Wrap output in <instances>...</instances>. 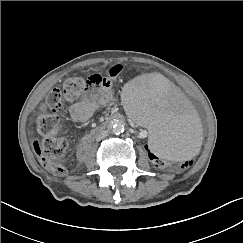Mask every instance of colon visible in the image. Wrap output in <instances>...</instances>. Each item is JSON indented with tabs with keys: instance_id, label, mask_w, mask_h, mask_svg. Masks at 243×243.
Here are the masks:
<instances>
[{
	"instance_id": "5ec220e1",
	"label": "colon",
	"mask_w": 243,
	"mask_h": 243,
	"mask_svg": "<svg viewBox=\"0 0 243 243\" xmlns=\"http://www.w3.org/2000/svg\"><path fill=\"white\" fill-rule=\"evenodd\" d=\"M121 71L122 65L120 64H114L99 74L94 68H88L85 71L87 80L81 77L68 78L64 81L61 89L54 88L47 94L36 118L37 130L43 138L41 141L36 140L34 142L35 152L40 157L45 170L58 176L65 173L61 160L68 149V142L57 136L60 129V119L56 114L60 110L62 102L64 100H75L88 88L96 85L111 86L119 77ZM142 151L156 167H171V164L153 152L150 146H143ZM195 166L196 159L187 162L177 161L174 164L175 169L184 171L191 170Z\"/></svg>"
}]
</instances>
